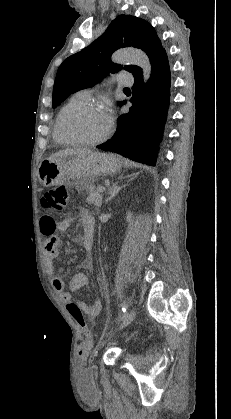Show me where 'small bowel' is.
Segmentation results:
<instances>
[{"instance_id":"1","label":"small bowel","mask_w":231,"mask_h":419,"mask_svg":"<svg viewBox=\"0 0 231 419\" xmlns=\"http://www.w3.org/2000/svg\"><path fill=\"white\" fill-rule=\"evenodd\" d=\"M79 217L83 225V234L75 237V241L80 243L85 250L90 253L93 248L95 222L92 214L85 209L79 211ZM74 217H66L57 222L51 216H44L40 219V230L42 234L46 235L47 241L45 243L46 262L50 272H53L54 262L58 256V247L60 238L56 231H67L72 223ZM86 264L91 265V257H87ZM88 284V277L85 273L75 274L70 283L68 291L65 290V281L60 275L52 276V286L54 290L61 296V298L68 303L73 302L83 316L94 318L99 315L102 310L103 303L101 300H95L91 305L82 301L73 299V293L85 287ZM69 311V310H68ZM70 312V311H69Z\"/></svg>"}]
</instances>
